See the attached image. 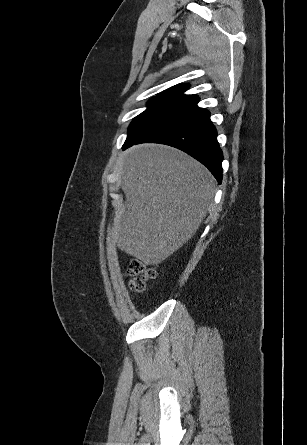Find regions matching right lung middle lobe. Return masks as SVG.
Instances as JSON below:
<instances>
[{
	"instance_id": "dd1d6c3e",
	"label": "right lung middle lobe",
	"mask_w": 307,
	"mask_h": 445,
	"mask_svg": "<svg viewBox=\"0 0 307 445\" xmlns=\"http://www.w3.org/2000/svg\"><path fill=\"white\" fill-rule=\"evenodd\" d=\"M185 101L179 99H170L163 97H153L148 102V108L139 114L131 122L128 128V136H131L152 123L153 121L159 119L163 115L170 113L177 108L181 107Z\"/></svg>"
}]
</instances>
